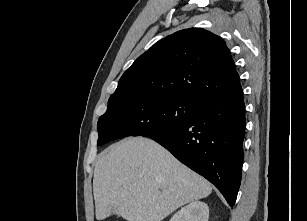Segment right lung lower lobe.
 <instances>
[{"mask_svg":"<svg viewBox=\"0 0 307 221\" xmlns=\"http://www.w3.org/2000/svg\"><path fill=\"white\" fill-rule=\"evenodd\" d=\"M245 126L241 91L202 104L187 122L150 138L214 184L233 207L241 182Z\"/></svg>","mask_w":307,"mask_h":221,"instance_id":"98d812e1","label":"right lung lower lobe"}]
</instances>
